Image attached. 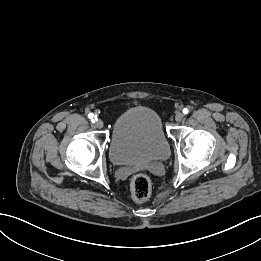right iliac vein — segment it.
<instances>
[{
  "mask_svg": "<svg viewBox=\"0 0 261 261\" xmlns=\"http://www.w3.org/2000/svg\"><path fill=\"white\" fill-rule=\"evenodd\" d=\"M104 123L102 120L98 119L96 120L95 122V126L98 128V129H101L103 127Z\"/></svg>",
  "mask_w": 261,
  "mask_h": 261,
  "instance_id": "1",
  "label": "right iliac vein"
}]
</instances>
